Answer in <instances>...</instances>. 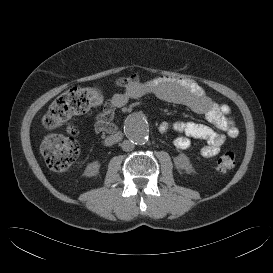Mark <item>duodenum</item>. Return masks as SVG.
<instances>
[{"label": "duodenum", "mask_w": 273, "mask_h": 273, "mask_svg": "<svg viewBox=\"0 0 273 273\" xmlns=\"http://www.w3.org/2000/svg\"><path fill=\"white\" fill-rule=\"evenodd\" d=\"M122 138V133L121 132H116L114 134L109 135L108 137H106L104 139V144L106 146H111L114 145L116 143H118Z\"/></svg>", "instance_id": "obj_1"}]
</instances>
